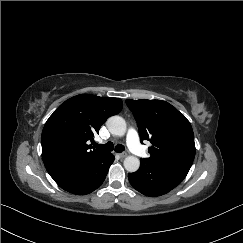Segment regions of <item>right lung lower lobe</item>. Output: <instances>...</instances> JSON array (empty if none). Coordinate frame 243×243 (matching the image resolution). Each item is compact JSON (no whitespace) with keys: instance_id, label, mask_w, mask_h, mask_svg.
Instances as JSON below:
<instances>
[{"instance_id":"1","label":"right lung lower lobe","mask_w":243,"mask_h":243,"mask_svg":"<svg viewBox=\"0 0 243 243\" xmlns=\"http://www.w3.org/2000/svg\"><path fill=\"white\" fill-rule=\"evenodd\" d=\"M114 159V156L107 152L81 167L56 173L51 177L64 190L85 195L101 186Z\"/></svg>"}]
</instances>
